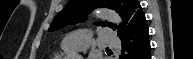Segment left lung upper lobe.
I'll list each match as a JSON object with an SVG mask.
<instances>
[{"label": "left lung upper lobe", "mask_w": 193, "mask_h": 59, "mask_svg": "<svg viewBox=\"0 0 193 59\" xmlns=\"http://www.w3.org/2000/svg\"><path fill=\"white\" fill-rule=\"evenodd\" d=\"M96 7H108L122 16L123 24L119 26L108 22L101 23L103 26L117 30L118 36L126 30L127 25L136 13L143 12L138 0H70L65 8L57 14L49 31L84 21L89 11Z\"/></svg>", "instance_id": "5c2ea615"}]
</instances>
